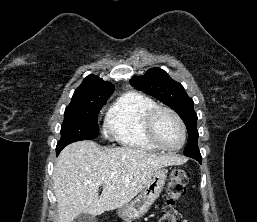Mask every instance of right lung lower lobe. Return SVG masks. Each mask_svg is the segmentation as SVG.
Returning <instances> with one entry per match:
<instances>
[{
  "label": "right lung lower lobe",
  "instance_id": "obj_1",
  "mask_svg": "<svg viewBox=\"0 0 257 222\" xmlns=\"http://www.w3.org/2000/svg\"><path fill=\"white\" fill-rule=\"evenodd\" d=\"M60 153V151H57L56 154L58 155Z\"/></svg>",
  "mask_w": 257,
  "mask_h": 222
}]
</instances>
